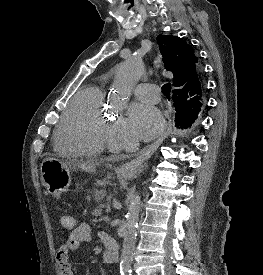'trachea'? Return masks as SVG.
<instances>
[{"label": "trachea", "instance_id": "trachea-1", "mask_svg": "<svg viewBox=\"0 0 263 275\" xmlns=\"http://www.w3.org/2000/svg\"><path fill=\"white\" fill-rule=\"evenodd\" d=\"M162 93L167 97L170 98V93H171V84L166 83L162 86Z\"/></svg>", "mask_w": 263, "mask_h": 275}]
</instances>
